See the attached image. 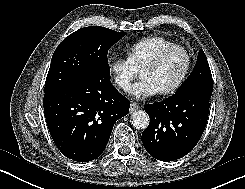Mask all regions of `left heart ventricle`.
<instances>
[{"mask_svg":"<svg viewBox=\"0 0 245 189\" xmlns=\"http://www.w3.org/2000/svg\"><path fill=\"white\" fill-rule=\"evenodd\" d=\"M186 65V56L183 52L176 50L169 53L156 68L146 70L140 76L148 79L159 91H162L180 79Z\"/></svg>","mask_w":245,"mask_h":189,"instance_id":"obj_1","label":"left heart ventricle"}]
</instances>
